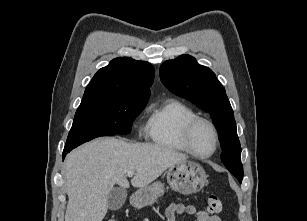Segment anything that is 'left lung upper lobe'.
Instances as JSON below:
<instances>
[{"label": "left lung upper lobe", "instance_id": "1", "mask_svg": "<svg viewBox=\"0 0 307 221\" xmlns=\"http://www.w3.org/2000/svg\"><path fill=\"white\" fill-rule=\"evenodd\" d=\"M160 78L171 92L211 114L221 142V160L241 183L243 166L234 113L214 72L199 65L194 57L181 55L161 65Z\"/></svg>", "mask_w": 307, "mask_h": 221}]
</instances>
